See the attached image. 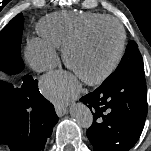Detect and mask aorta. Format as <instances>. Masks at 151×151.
Masks as SVG:
<instances>
[{
    "label": "aorta",
    "mask_w": 151,
    "mask_h": 151,
    "mask_svg": "<svg viewBox=\"0 0 151 151\" xmlns=\"http://www.w3.org/2000/svg\"><path fill=\"white\" fill-rule=\"evenodd\" d=\"M70 115L82 128H89L93 123V115L90 109L83 103H74L70 107Z\"/></svg>",
    "instance_id": "obj_1"
}]
</instances>
